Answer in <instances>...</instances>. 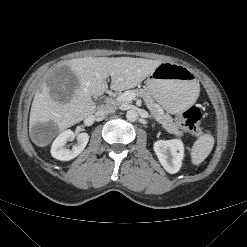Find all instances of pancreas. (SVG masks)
Listing matches in <instances>:
<instances>
[{
  "label": "pancreas",
  "instance_id": "obj_1",
  "mask_svg": "<svg viewBox=\"0 0 247 247\" xmlns=\"http://www.w3.org/2000/svg\"><path fill=\"white\" fill-rule=\"evenodd\" d=\"M136 96L143 98L147 104L149 110L151 111L153 117L159 122L162 127L170 134H174L177 137H182L183 132L179 130V127L176 123L173 122V118L169 114H164L160 106L155 103L152 96L144 89H135L129 90ZM121 101H114L115 104H119Z\"/></svg>",
  "mask_w": 247,
  "mask_h": 247
}]
</instances>
